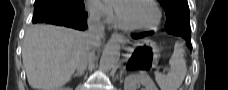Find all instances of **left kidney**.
<instances>
[{"mask_svg":"<svg viewBox=\"0 0 228 90\" xmlns=\"http://www.w3.org/2000/svg\"><path fill=\"white\" fill-rule=\"evenodd\" d=\"M142 84L145 90H158L154 82L144 74H132L125 78L124 90H136Z\"/></svg>","mask_w":228,"mask_h":90,"instance_id":"5707ae66","label":"left kidney"}]
</instances>
